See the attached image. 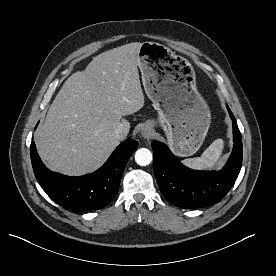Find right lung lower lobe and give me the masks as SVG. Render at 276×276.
Returning <instances> with one entry per match:
<instances>
[{"mask_svg": "<svg viewBox=\"0 0 276 276\" xmlns=\"http://www.w3.org/2000/svg\"><path fill=\"white\" fill-rule=\"evenodd\" d=\"M138 143L128 139L117 147L96 172L81 177L64 176L47 169L34 142L30 155L36 179L47 195L69 211L82 212L106 207L118 192L125 166Z\"/></svg>", "mask_w": 276, "mask_h": 276, "instance_id": "right-lung-lower-lobe-1", "label": "right lung lower lobe"}]
</instances>
